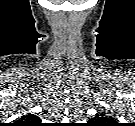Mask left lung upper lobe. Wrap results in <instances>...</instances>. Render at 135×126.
<instances>
[{"label":"left lung upper lobe","mask_w":135,"mask_h":126,"mask_svg":"<svg viewBox=\"0 0 135 126\" xmlns=\"http://www.w3.org/2000/svg\"><path fill=\"white\" fill-rule=\"evenodd\" d=\"M94 120L99 121V122H107L110 119H108L107 117H104L103 114H96V116L94 117Z\"/></svg>","instance_id":"1"}]
</instances>
